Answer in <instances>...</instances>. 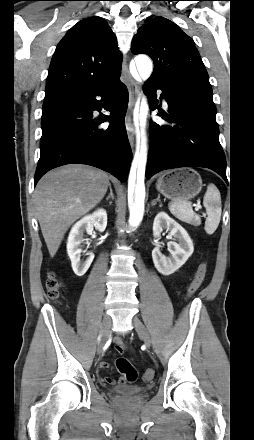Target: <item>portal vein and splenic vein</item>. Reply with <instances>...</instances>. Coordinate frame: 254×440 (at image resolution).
<instances>
[{
  "label": "portal vein and splenic vein",
  "mask_w": 254,
  "mask_h": 440,
  "mask_svg": "<svg viewBox=\"0 0 254 440\" xmlns=\"http://www.w3.org/2000/svg\"><path fill=\"white\" fill-rule=\"evenodd\" d=\"M200 208H201V206H199V205H196V206H195V210H196V211H199Z\"/></svg>",
  "instance_id": "obj_1"
}]
</instances>
